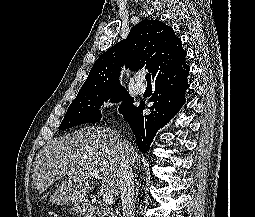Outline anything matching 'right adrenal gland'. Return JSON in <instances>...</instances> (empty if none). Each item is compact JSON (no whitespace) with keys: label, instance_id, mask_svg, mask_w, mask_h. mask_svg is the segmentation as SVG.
<instances>
[{"label":"right adrenal gland","instance_id":"2a0ac1e0","mask_svg":"<svg viewBox=\"0 0 255 217\" xmlns=\"http://www.w3.org/2000/svg\"><path fill=\"white\" fill-rule=\"evenodd\" d=\"M139 193V182L136 181V196H138Z\"/></svg>","mask_w":255,"mask_h":217}]
</instances>
